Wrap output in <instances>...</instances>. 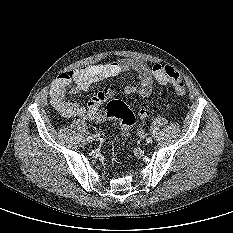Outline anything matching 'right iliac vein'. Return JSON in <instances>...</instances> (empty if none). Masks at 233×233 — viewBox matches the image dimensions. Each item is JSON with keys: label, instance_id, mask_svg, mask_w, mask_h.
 Masks as SVG:
<instances>
[{"label": "right iliac vein", "instance_id": "1", "mask_svg": "<svg viewBox=\"0 0 233 233\" xmlns=\"http://www.w3.org/2000/svg\"><path fill=\"white\" fill-rule=\"evenodd\" d=\"M93 139H94V140H98V139H99V134H95V135L93 136Z\"/></svg>", "mask_w": 233, "mask_h": 233}]
</instances>
